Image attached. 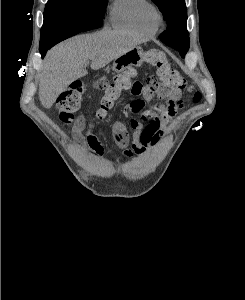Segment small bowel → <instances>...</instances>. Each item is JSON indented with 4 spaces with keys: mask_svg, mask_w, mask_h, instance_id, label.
<instances>
[{
    "mask_svg": "<svg viewBox=\"0 0 245 300\" xmlns=\"http://www.w3.org/2000/svg\"><path fill=\"white\" fill-rule=\"evenodd\" d=\"M130 90L133 95L143 98V108L134 110L130 102L124 108L129 127L120 121H114L112 124L114 141L123 151V157L127 159L145 156L151 148L155 147L163 137L168 124L182 107L181 101H170L162 95L161 98L165 100L163 104L145 109V101L149 102L152 99L153 92L140 82H136L135 88ZM86 127L84 119L79 118L72 128L73 139L92 152L102 154L103 147L98 138L90 132L83 134Z\"/></svg>",
    "mask_w": 245,
    "mask_h": 300,
    "instance_id": "obj_1",
    "label": "small bowel"
}]
</instances>
